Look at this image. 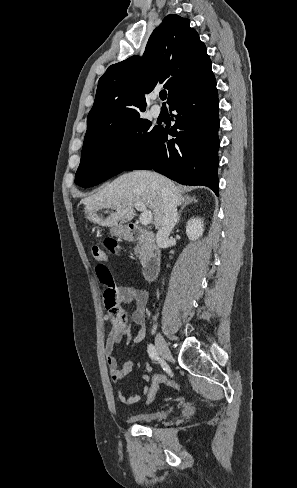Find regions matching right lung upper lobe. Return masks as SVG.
Masks as SVG:
<instances>
[{
    "instance_id": "1",
    "label": "right lung upper lobe",
    "mask_w": 297,
    "mask_h": 488,
    "mask_svg": "<svg viewBox=\"0 0 297 488\" xmlns=\"http://www.w3.org/2000/svg\"><path fill=\"white\" fill-rule=\"evenodd\" d=\"M189 23L186 18L168 15L151 34L142 57L132 56L107 69L98 82L85 138L140 118L146 109L144 94L159 83L169 90L170 105L213 75L206 46Z\"/></svg>"
}]
</instances>
